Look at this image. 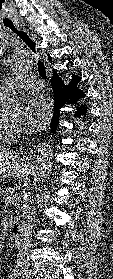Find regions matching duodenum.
<instances>
[{"label":"duodenum","instance_id":"410a0bca","mask_svg":"<svg viewBox=\"0 0 113 279\" xmlns=\"http://www.w3.org/2000/svg\"><path fill=\"white\" fill-rule=\"evenodd\" d=\"M21 236V226L14 225L10 233V242L13 246H18Z\"/></svg>","mask_w":113,"mask_h":279}]
</instances>
